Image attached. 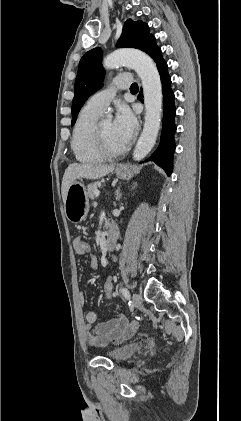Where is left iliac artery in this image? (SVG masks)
Here are the masks:
<instances>
[{
  "label": "left iliac artery",
  "instance_id": "left-iliac-artery-1",
  "mask_svg": "<svg viewBox=\"0 0 241 421\" xmlns=\"http://www.w3.org/2000/svg\"><path fill=\"white\" fill-rule=\"evenodd\" d=\"M120 292L127 300L130 299V293L126 288H120Z\"/></svg>",
  "mask_w": 241,
  "mask_h": 421
}]
</instances>
